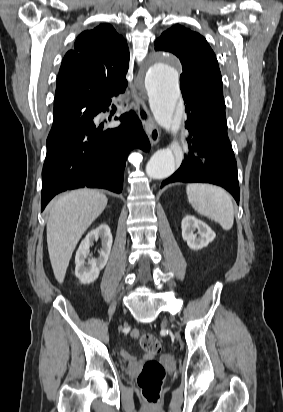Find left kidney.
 Wrapping results in <instances>:
<instances>
[{"label": "left kidney", "instance_id": "left-kidney-1", "mask_svg": "<svg viewBox=\"0 0 283 412\" xmlns=\"http://www.w3.org/2000/svg\"><path fill=\"white\" fill-rule=\"evenodd\" d=\"M181 228L183 240L193 250H200L206 247L216 237L214 231L206 223L192 215L184 217ZM195 230H198L197 234L194 233Z\"/></svg>", "mask_w": 283, "mask_h": 412}]
</instances>
